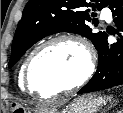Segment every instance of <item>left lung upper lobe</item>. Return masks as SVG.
<instances>
[{
	"instance_id": "5c2ea615",
	"label": "left lung upper lobe",
	"mask_w": 123,
	"mask_h": 113,
	"mask_svg": "<svg viewBox=\"0 0 123 113\" xmlns=\"http://www.w3.org/2000/svg\"><path fill=\"white\" fill-rule=\"evenodd\" d=\"M30 0L18 23L8 67H12L21 56L42 38L58 33L70 32L90 39L96 48L107 36L106 32L94 33L96 9L107 7L111 0ZM97 24H95L96 26Z\"/></svg>"
}]
</instances>
